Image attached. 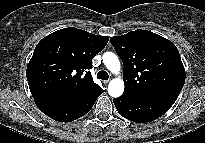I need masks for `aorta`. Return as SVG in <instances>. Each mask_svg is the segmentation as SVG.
Here are the masks:
<instances>
[{
    "label": "aorta",
    "instance_id": "1",
    "mask_svg": "<svg viewBox=\"0 0 205 143\" xmlns=\"http://www.w3.org/2000/svg\"><path fill=\"white\" fill-rule=\"evenodd\" d=\"M103 62L107 69L113 74L120 72V61L118 57L112 52H105L103 54ZM124 82L121 78L117 77L112 79L108 85V93L111 97L117 98L123 94Z\"/></svg>",
    "mask_w": 205,
    "mask_h": 143
}]
</instances>
